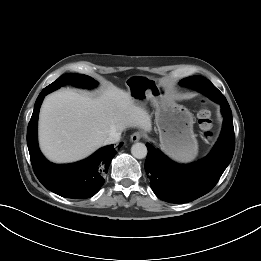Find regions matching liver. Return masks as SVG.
<instances>
[{
	"mask_svg": "<svg viewBox=\"0 0 261 261\" xmlns=\"http://www.w3.org/2000/svg\"><path fill=\"white\" fill-rule=\"evenodd\" d=\"M128 127L152 130L151 117L131 94L109 85L93 98L65 89L48 95L39 115V144L43 154L56 163L88 157L114 132Z\"/></svg>",
	"mask_w": 261,
	"mask_h": 261,
	"instance_id": "liver-1",
	"label": "liver"
}]
</instances>
